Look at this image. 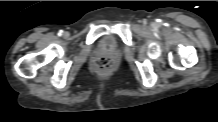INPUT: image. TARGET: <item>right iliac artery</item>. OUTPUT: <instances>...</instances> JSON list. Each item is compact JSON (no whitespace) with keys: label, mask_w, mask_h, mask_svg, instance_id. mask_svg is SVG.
<instances>
[{"label":"right iliac artery","mask_w":218,"mask_h":122,"mask_svg":"<svg viewBox=\"0 0 218 122\" xmlns=\"http://www.w3.org/2000/svg\"><path fill=\"white\" fill-rule=\"evenodd\" d=\"M63 34V30H59L58 35L61 36Z\"/></svg>","instance_id":"right-iliac-artery-1"}]
</instances>
